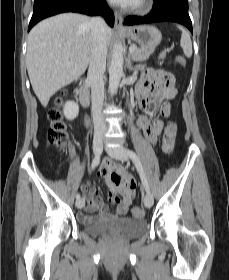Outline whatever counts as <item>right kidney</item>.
<instances>
[{
  "label": "right kidney",
  "instance_id": "ca27d5eb",
  "mask_svg": "<svg viewBox=\"0 0 229 280\" xmlns=\"http://www.w3.org/2000/svg\"><path fill=\"white\" fill-rule=\"evenodd\" d=\"M63 111L67 119L73 120L78 116L79 106L73 101H67L64 105Z\"/></svg>",
  "mask_w": 229,
  "mask_h": 280
}]
</instances>
